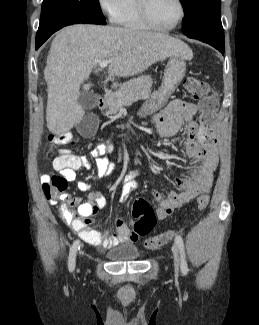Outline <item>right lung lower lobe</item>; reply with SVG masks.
Returning a JSON list of instances; mask_svg holds the SVG:
<instances>
[{
  "label": "right lung lower lobe",
  "mask_w": 259,
  "mask_h": 325,
  "mask_svg": "<svg viewBox=\"0 0 259 325\" xmlns=\"http://www.w3.org/2000/svg\"><path fill=\"white\" fill-rule=\"evenodd\" d=\"M62 27H59L49 33H47L46 35L42 36L41 38H37L36 39V49H38L54 32H56L57 30L61 29Z\"/></svg>",
  "instance_id": "right-lung-lower-lobe-1"
}]
</instances>
